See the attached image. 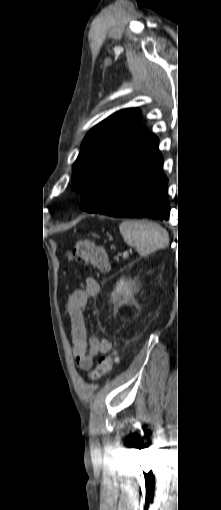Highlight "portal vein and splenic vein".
Instances as JSON below:
<instances>
[{
	"mask_svg": "<svg viewBox=\"0 0 221 510\" xmlns=\"http://www.w3.org/2000/svg\"><path fill=\"white\" fill-rule=\"evenodd\" d=\"M126 256H127V255H125V254H124L122 257H123V258H125Z\"/></svg>",
	"mask_w": 221,
	"mask_h": 510,
	"instance_id": "portal-vein-and-splenic-vein-1",
	"label": "portal vein and splenic vein"
}]
</instances>
